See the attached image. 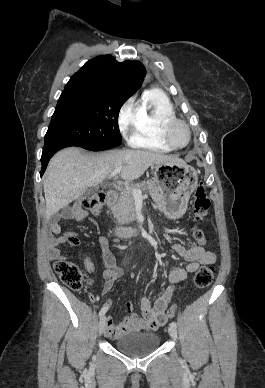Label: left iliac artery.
Listing matches in <instances>:
<instances>
[{"instance_id":"1","label":"left iliac artery","mask_w":265,"mask_h":388,"mask_svg":"<svg viewBox=\"0 0 265 388\" xmlns=\"http://www.w3.org/2000/svg\"><path fill=\"white\" fill-rule=\"evenodd\" d=\"M170 326L176 328V327H177V324H176V322H171V323H170Z\"/></svg>"}]
</instances>
